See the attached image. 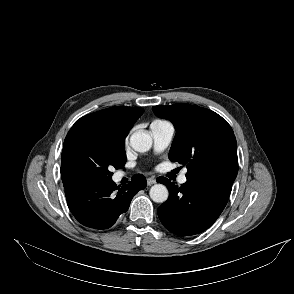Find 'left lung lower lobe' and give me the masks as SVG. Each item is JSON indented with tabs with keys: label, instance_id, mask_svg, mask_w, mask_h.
<instances>
[{
	"label": "left lung lower lobe",
	"instance_id": "0a47b994",
	"mask_svg": "<svg viewBox=\"0 0 294 294\" xmlns=\"http://www.w3.org/2000/svg\"><path fill=\"white\" fill-rule=\"evenodd\" d=\"M235 173L228 169L211 171L205 175L187 178L178 187L164 177L169 198L158 208L162 224L179 236L199 234L208 229L222 213L232 189Z\"/></svg>",
	"mask_w": 294,
	"mask_h": 294
}]
</instances>
